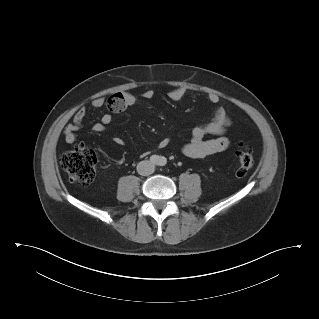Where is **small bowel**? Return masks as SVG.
Segmentation results:
<instances>
[{"label":"small bowel","mask_w":319,"mask_h":319,"mask_svg":"<svg viewBox=\"0 0 319 319\" xmlns=\"http://www.w3.org/2000/svg\"><path fill=\"white\" fill-rule=\"evenodd\" d=\"M186 94V89L183 87H177L169 92V98L173 101H180ZM121 98L117 100L116 104L124 108H128L134 105L137 101L136 95L132 93L120 94ZM154 96V92L150 89L143 91L142 97L145 99H151ZM208 101L215 105L214 115L211 121L206 124L199 125L193 128L191 138L188 143L182 147V152L185 156L191 158H206L214 153L225 150L229 141L224 136L227 128L231 124L230 116L227 110L219 105V96L215 93L208 94ZM92 107L94 109H101L106 107L109 111H114L110 106V100L104 97H97L92 101ZM86 116L85 107L79 108L70 123H68L63 131L64 139L67 143L72 144L77 139V133L82 127L83 120ZM113 116L110 112H106L102 115L99 122L92 126V130L96 133H102L106 130V127L112 122ZM206 135H213L214 138L205 139ZM113 141L122 145L124 143L121 137H114ZM169 145L167 139H163L158 143L159 149H165ZM149 151H144L143 154H148Z\"/></svg>","instance_id":"1"}]
</instances>
